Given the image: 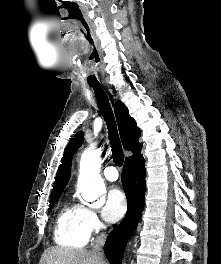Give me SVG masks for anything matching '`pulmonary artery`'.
Instances as JSON below:
<instances>
[{
    "label": "pulmonary artery",
    "mask_w": 221,
    "mask_h": 264,
    "mask_svg": "<svg viewBox=\"0 0 221 264\" xmlns=\"http://www.w3.org/2000/svg\"><path fill=\"white\" fill-rule=\"evenodd\" d=\"M104 176L109 181H116L119 177L118 171L114 166H108L104 170Z\"/></svg>",
    "instance_id": "e3ab8cb5"
}]
</instances>
